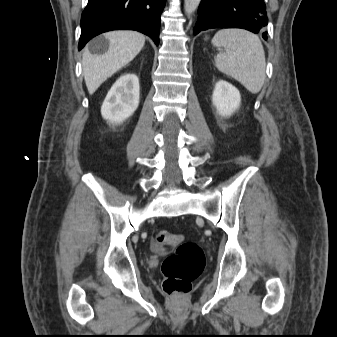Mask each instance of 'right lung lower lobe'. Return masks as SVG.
<instances>
[{"label": "right lung lower lobe", "mask_w": 337, "mask_h": 337, "mask_svg": "<svg viewBox=\"0 0 337 337\" xmlns=\"http://www.w3.org/2000/svg\"><path fill=\"white\" fill-rule=\"evenodd\" d=\"M166 0H89L81 17L79 50L94 36L116 29L137 30L159 44Z\"/></svg>", "instance_id": "1"}]
</instances>
